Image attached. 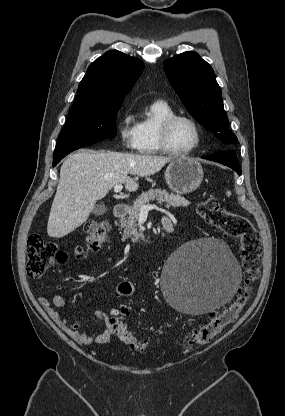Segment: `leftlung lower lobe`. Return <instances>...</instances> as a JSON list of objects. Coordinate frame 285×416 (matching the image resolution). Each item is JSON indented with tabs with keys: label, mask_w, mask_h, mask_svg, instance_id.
Wrapping results in <instances>:
<instances>
[{
	"label": "left lung lower lobe",
	"mask_w": 285,
	"mask_h": 416,
	"mask_svg": "<svg viewBox=\"0 0 285 416\" xmlns=\"http://www.w3.org/2000/svg\"><path fill=\"white\" fill-rule=\"evenodd\" d=\"M204 158L226 165L232 168L234 171H236L239 175H241V168L239 166L238 160L234 152H229V153L221 152V153H216L210 156H206Z\"/></svg>",
	"instance_id": "0a47b994"
}]
</instances>
